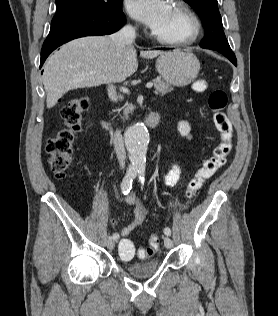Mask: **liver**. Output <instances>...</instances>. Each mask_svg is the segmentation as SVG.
I'll list each match as a JSON object with an SVG mask.
<instances>
[{"mask_svg": "<svg viewBox=\"0 0 278 316\" xmlns=\"http://www.w3.org/2000/svg\"><path fill=\"white\" fill-rule=\"evenodd\" d=\"M162 52L142 50L143 58H155ZM138 68L136 49L132 45L117 52L109 36H87L65 44L44 65L43 85L47 106L52 108L68 91L97 87L104 83L123 82Z\"/></svg>", "mask_w": 278, "mask_h": 316, "instance_id": "liver-1", "label": "liver"}]
</instances>
